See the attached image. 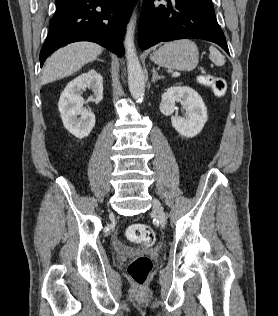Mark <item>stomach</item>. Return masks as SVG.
Masks as SVG:
<instances>
[{
  "label": "stomach",
  "mask_w": 278,
  "mask_h": 316,
  "mask_svg": "<svg viewBox=\"0 0 278 316\" xmlns=\"http://www.w3.org/2000/svg\"><path fill=\"white\" fill-rule=\"evenodd\" d=\"M150 59L169 69L192 71L198 65L199 52L194 42L179 40L164 44L151 54Z\"/></svg>",
  "instance_id": "0dacf381"
}]
</instances>
